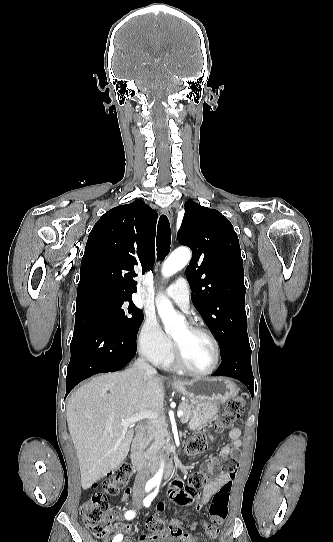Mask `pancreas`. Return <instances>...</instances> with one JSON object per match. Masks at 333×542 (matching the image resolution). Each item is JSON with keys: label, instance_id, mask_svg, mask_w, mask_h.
Masks as SVG:
<instances>
[{"label": "pancreas", "instance_id": "obj_1", "mask_svg": "<svg viewBox=\"0 0 333 542\" xmlns=\"http://www.w3.org/2000/svg\"><path fill=\"white\" fill-rule=\"evenodd\" d=\"M178 410H182L183 416H181V422H189L192 418V406L189 402H181L178 406ZM170 436L167 428H163V422H155L152 426H149L146 430V434L143 438V448H146L143 452L145 458L148 460H159L163 456V452H167Z\"/></svg>", "mask_w": 333, "mask_h": 542}]
</instances>
